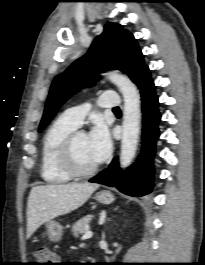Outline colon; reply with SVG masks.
<instances>
[{
	"mask_svg": "<svg viewBox=\"0 0 205 265\" xmlns=\"http://www.w3.org/2000/svg\"><path fill=\"white\" fill-rule=\"evenodd\" d=\"M35 257L38 261V265H55L58 260V256L53 251L47 248H41L36 251Z\"/></svg>",
	"mask_w": 205,
	"mask_h": 265,
	"instance_id": "obj_1",
	"label": "colon"
}]
</instances>
